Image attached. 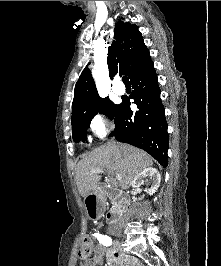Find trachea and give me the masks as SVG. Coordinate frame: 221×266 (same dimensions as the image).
Here are the masks:
<instances>
[{
    "instance_id": "1",
    "label": "trachea",
    "mask_w": 221,
    "mask_h": 266,
    "mask_svg": "<svg viewBox=\"0 0 221 266\" xmlns=\"http://www.w3.org/2000/svg\"><path fill=\"white\" fill-rule=\"evenodd\" d=\"M122 81H123L124 84H130V81H129V79L127 78V76H123V77H122Z\"/></svg>"
}]
</instances>
